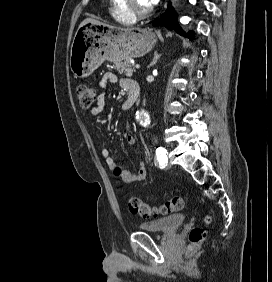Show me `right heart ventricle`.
<instances>
[{
  "instance_id": "right-heart-ventricle-1",
  "label": "right heart ventricle",
  "mask_w": 272,
  "mask_h": 282,
  "mask_svg": "<svg viewBox=\"0 0 272 282\" xmlns=\"http://www.w3.org/2000/svg\"><path fill=\"white\" fill-rule=\"evenodd\" d=\"M112 16L119 22L125 25L132 24L135 18L132 17L124 8L123 0H110Z\"/></svg>"
}]
</instances>
